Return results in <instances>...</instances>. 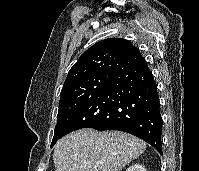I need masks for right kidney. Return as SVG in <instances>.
Listing matches in <instances>:
<instances>
[{
  "label": "right kidney",
  "instance_id": "obj_1",
  "mask_svg": "<svg viewBox=\"0 0 199 171\" xmlns=\"http://www.w3.org/2000/svg\"><path fill=\"white\" fill-rule=\"evenodd\" d=\"M126 171H146L141 164H133Z\"/></svg>",
  "mask_w": 199,
  "mask_h": 171
}]
</instances>
